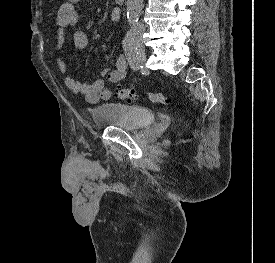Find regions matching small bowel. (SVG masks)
I'll list each match as a JSON object with an SVG mask.
<instances>
[{
  "label": "small bowel",
  "mask_w": 275,
  "mask_h": 263,
  "mask_svg": "<svg viewBox=\"0 0 275 263\" xmlns=\"http://www.w3.org/2000/svg\"><path fill=\"white\" fill-rule=\"evenodd\" d=\"M80 0H66L60 5L57 11V31H56V64L61 73H66V63L61 57V50L65 42V30L73 27L78 21V13L76 5ZM110 20L117 22L120 20L121 12L119 9H112L110 12ZM88 44L87 34L81 30L76 29L72 37V46L75 50H82ZM128 74V62L126 58L121 55L115 61L113 69L105 68L101 77L95 79L91 84H84L76 78L67 75L65 84L70 91L77 95L85 97L91 104H98L101 101H109L112 93L108 88L107 83H119L126 78Z\"/></svg>",
  "instance_id": "1"
}]
</instances>
